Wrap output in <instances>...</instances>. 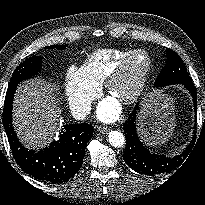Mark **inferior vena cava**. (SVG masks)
<instances>
[{"instance_id": "inferior-vena-cava-1", "label": "inferior vena cava", "mask_w": 205, "mask_h": 205, "mask_svg": "<svg viewBox=\"0 0 205 205\" xmlns=\"http://www.w3.org/2000/svg\"><path fill=\"white\" fill-rule=\"evenodd\" d=\"M91 111V104L89 102H83L71 107V114L76 120L85 119Z\"/></svg>"}]
</instances>
